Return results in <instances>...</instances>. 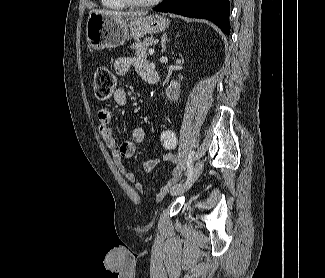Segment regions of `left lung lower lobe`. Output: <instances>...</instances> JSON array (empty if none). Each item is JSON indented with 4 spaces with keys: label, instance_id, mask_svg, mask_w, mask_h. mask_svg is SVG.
Here are the masks:
<instances>
[{
    "label": "left lung lower lobe",
    "instance_id": "obj_1",
    "mask_svg": "<svg viewBox=\"0 0 325 278\" xmlns=\"http://www.w3.org/2000/svg\"><path fill=\"white\" fill-rule=\"evenodd\" d=\"M153 10L207 19L215 23L225 34H230L229 0H166Z\"/></svg>",
    "mask_w": 325,
    "mask_h": 278
}]
</instances>
